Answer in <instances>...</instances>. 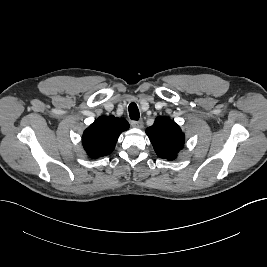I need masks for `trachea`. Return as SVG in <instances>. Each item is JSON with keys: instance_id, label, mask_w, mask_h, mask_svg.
I'll return each mask as SVG.
<instances>
[{"instance_id": "3493384b", "label": "trachea", "mask_w": 267, "mask_h": 267, "mask_svg": "<svg viewBox=\"0 0 267 267\" xmlns=\"http://www.w3.org/2000/svg\"><path fill=\"white\" fill-rule=\"evenodd\" d=\"M129 116L132 120H138L140 117L139 109L135 103H131L128 107Z\"/></svg>"}]
</instances>
